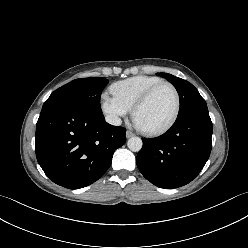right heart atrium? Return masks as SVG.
Segmentation results:
<instances>
[{
    "mask_svg": "<svg viewBox=\"0 0 248 248\" xmlns=\"http://www.w3.org/2000/svg\"><path fill=\"white\" fill-rule=\"evenodd\" d=\"M101 108L106 117L114 124H118L130 112L124 103L108 93H103L101 96Z\"/></svg>",
    "mask_w": 248,
    "mask_h": 248,
    "instance_id": "obj_1",
    "label": "right heart atrium"
}]
</instances>
